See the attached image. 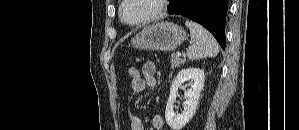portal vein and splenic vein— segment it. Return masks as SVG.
I'll use <instances>...</instances> for the list:
<instances>
[{"instance_id": "1", "label": "portal vein and splenic vein", "mask_w": 299, "mask_h": 130, "mask_svg": "<svg viewBox=\"0 0 299 130\" xmlns=\"http://www.w3.org/2000/svg\"><path fill=\"white\" fill-rule=\"evenodd\" d=\"M176 56L180 57L181 56V52H177Z\"/></svg>"}]
</instances>
